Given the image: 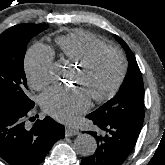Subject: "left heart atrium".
<instances>
[{
	"mask_svg": "<svg viewBox=\"0 0 165 165\" xmlns=\"http://www.w3.org/2000/svg\"><path fill=\"white\" fill-rule=\"evenodd\" d=\"M89 105L90 97L80 87L52 88L41 97L43 110L61 122L74 121Z\"/></svg>",
	"mask_w": 165,
	"mask_h": 165,
	"instance_id": "39dd6f15",
	"label": "left heart atrium"
}]
</instances>
